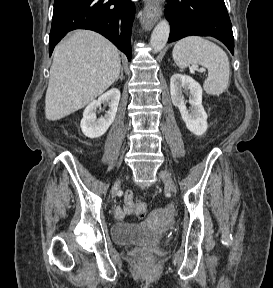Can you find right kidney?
<instances>
[{"instance_id":"right-kidney-1","label":"right kidney","mask_w":273,"mask_h":288,"mask_svg":"<svg viewBox=\"0 0 273 288\" xmlns=\"http://www.w3.org/2000/svg\"><path fill=\"white\" fill-rule=\"evenodd\" d=\"M120 96L119 89L112 88L85 108L80 126L86 137L98 138L105 134L115 119ZM101 104L109 105V110L104 117L97 119V108L101 107Z\"/></svg>"}]
</instances>
